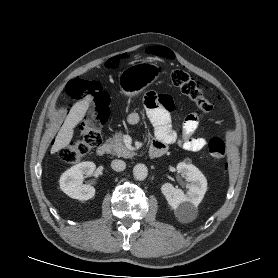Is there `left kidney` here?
Segmentation results:
<instances>
[{"label": "left kidney", "instance_id": "obj_1", "mask_svg": "<svg viewBox=\"0 0 278 278\" xmlns=\"http://www.w3.org/2000/svg\"><path fill=\"white\" fill-rule=\"evenodd\" d=\"M177 170L186 181L190 182L187 192L176 189L170 183L163 184L161 192L174 211L185 212L196 208L201 203L207 191V180L201 171L192 164L181 162L177 165Z\"/></svg>", "mask_w": 278, "mask_h": 278}]
</instances>
